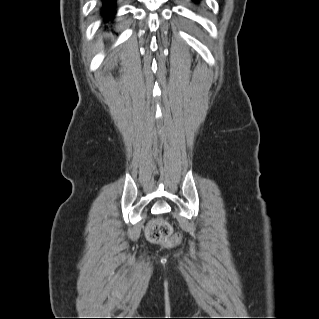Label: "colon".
Masks as SVG:
<instances>
[{
  "instance_id": "5ec220e1",
  "label": "colon",
  "mask_w": 319,
  "mask_h": 319,
  "mask_svg": "<svg viewBox=\"0 0 319 319\" xmlns=\"http://www.w3.org/2000/svg\"><path fill=\"white\" fill-rule=\"evenodd\" d=\"M147 238L156 243L177 246L181 242L180 234L172 232L171 225L162 219H154L147 226Z\"/></svg>"
}]
</instances>
